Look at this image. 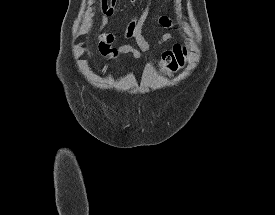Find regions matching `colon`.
I'll return each instance as SVG.
<instances>
[{"label":"colon","mask_w":275,"mask_h":215,"mask_svg":"<svg viewBox=\"0 0 275 215\" xmlns=\"http://www.w3.org/2000/svg\"><path fill=\"white\" fill-rule=\"evenodd\" d=\"M109 2L108 6L113 9L117 0H104ZM188 58L187 48L180 44L176 43L171 48L165 50L159 60L157 61V68L163 74L170 73L174 74L181 70Z\"/></svg>","instance_id":"obj_1"}]
</instances>
